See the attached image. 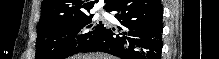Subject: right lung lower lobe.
Masks as SVG:
<instances>
[{"mask_svg":"<svg viewBox=\"0 0 219 59\" xmlns=\"http://www.w3.org/2000/svg\"><path fill=\"white\" fill-rule=\"evenodd\" d=\"M122 27L106 28L81 52L102 51L121 59H160L162 49L161 0H114L108 10Z\"/></svg>","mask_w":219,"mask_h":59,"instance_id":"right-lung-lower-lobe-1","label":"right lung lower lobe"}]
</instances>
